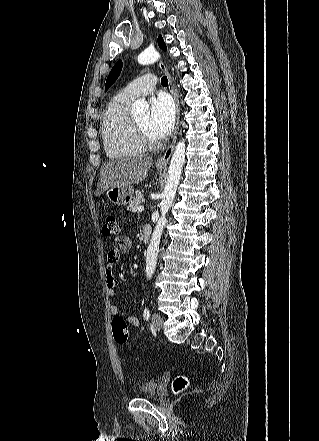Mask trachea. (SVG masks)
<instances>
[{"instance_id": "3493384b", "label": "trachea", "mask_w": 319, "mask_h": 441, "mask_svg": "<svg viewBox=\"0 0 319 441\" xmlns=\"http://www.w3.org/2000/svg\"><path fill=\"white\" fill-rule=\"evenodd\" d=\"M161 84H162L163 86L168 85V79H167L166 76H164V77L161 78Z\"/></svg>"}]
</instances>
